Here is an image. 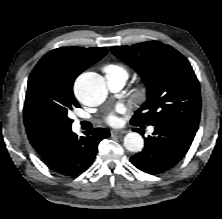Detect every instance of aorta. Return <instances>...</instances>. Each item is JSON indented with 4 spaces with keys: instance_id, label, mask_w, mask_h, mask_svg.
<instances>
[{
    "instance_id": "1",
    "label": "aorta",
    "mask_w": 222,
    "mask_h": 219,
    "mask_svg": "<svg viewBox=\"0 0 222 219\" xmlns=\"http://www.w3.org/2000/svg\"><path fill=\"white\" fill-rule=\"evenodd\" d=\"M77 97L88 106H97L105 101L107 88L103 78L92 72L81 74L75 82ZM124 147L130 152H140L144 140L137 132H129L124 137Z\"/></svg>"
}]
</instances>
